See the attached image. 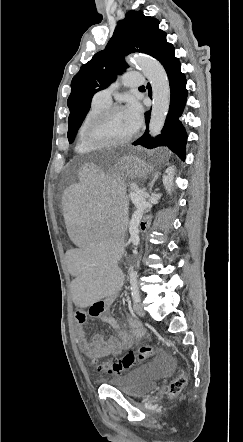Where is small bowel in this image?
Instances as JSON below:
<instances>
[{
  "label": "small bowel",
  "mask_w": 243,
  "mask_h": 442,
  "mask_svg": "<svg viewBox=\"0 0 243 442\" xmlns=\"http://www.w3.org/2000/svg\"><path fill=\"white\" fill-rule=\"evenodd\" d=\"M117 296H107L102 302H95L94 307H89V315L94 318H102L109 326L117 331L116 336L106 338L102 334H94L88 337L84 326L86 315L79 311L75 315L76 338L80 349L89 357L106 358L116 356L123 350L134 346L142 338L144 332L140 323L132 316L128 315L126 322L129 327L124 331L120 323L113 317H103L106 307L110 306Z\"/></svg>",
  "instance_id": "small-bowel-1"
}]
</instances>
